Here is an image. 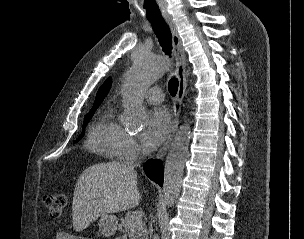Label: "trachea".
<instances>
[{"label": "trachea", "mask_w": 304, "mask_h": 239, "mask_svg": "<svg viewBox=\"0 0 304 239\" xmlns=\"http://www.w3.org/2000/svg\"><path fill=\"white\" fill-rule=\"evenodd\" d=\"M144 4L148 11L147 19L153 27L160 46L167 55H170L172 50V35L169 26L163 19L162 12H159V2H156V0H145ZM168 90L171 96L176 95L178 91V79L171 78L169 80Z\"/></svg>", "instance_id": "trachea-1"}]
</instances>
